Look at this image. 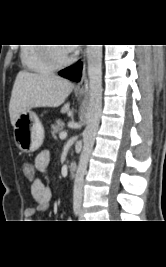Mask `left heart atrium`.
Segmentation results:
<instances>
[{"mask_svg":"<svg viewBox=\"0 0 166 267\" xmlns=\"http://www.w3.org/2000/svg\"><path fill=\"white\" fill-rule=\"evenodd\" d=\"M67 49H69L70 51H72V50H73V48H72V47H69V48H67Z\"/></svg>","mask_w":166,"mask_h":267,"instance_id":"39dd6f15","label":"left heart atrium"}]
</instances>
